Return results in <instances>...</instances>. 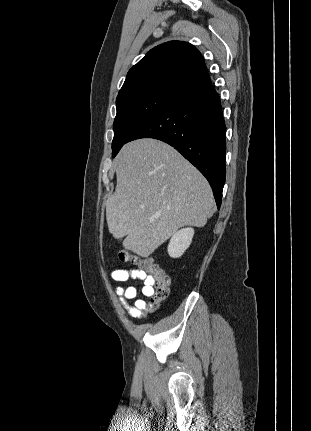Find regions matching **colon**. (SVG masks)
Returning a JSON list of instances; mask_svg holds the SVG:
<instances>
[{"label":"colon","instance_id":"5ec220e1","mask_svg":"<svg viewBox=\"0 0 311 431\" xmlns=\"http://www.w3.org/2000/svg\"><path fill=\"white\" fill-rule=\"evenodd\" d=\"M118 256L122 261H137L148 272L152 288L150 309H157L169 294L170 279L168 275L152 258L137 260L125 250H120Z\"/></svg>","mask_w":311,"mask_h":431}]
</instances>
